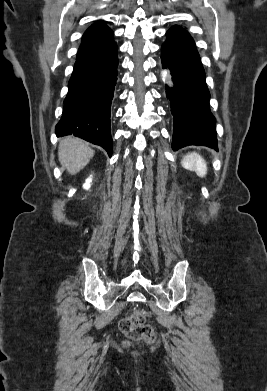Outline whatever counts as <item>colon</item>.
<instances>
[{
	"mask_svg": "<svg viewBox=\"0 0 267 391\" xmlns=\"http://www.w3.org/2000/svg\"><path fill=\"white\" fill-rule=\"evenodd\" d=\"M146 317L145 311L135 310L121 319L119 328L131 341L151 343L155 340V332L152 326L145 324Z\"/></svg>",
	"mask_w": 267,
	"mask_h": 391,
	"instance_id": "5ec220e1",
	"label": "colon"
}]
</instances>
